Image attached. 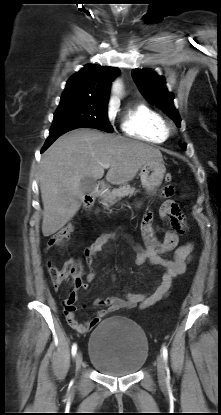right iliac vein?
<instances>
[{"label": "right iliac vein", "instance_id": "1", "mask_svg": "<svg viewBox=\"0 0 221 415\" xmlns=\"http://www.w3.org/2000/svg\"><path fill=\"white\" fill-rule=\"evenodd\" d=\"M81 365H82V354L78 352L75 356V366H76L77 372L80 370Z\"/></svg>", "mask_w": 221, "mask_h": 415}]
</instances>
